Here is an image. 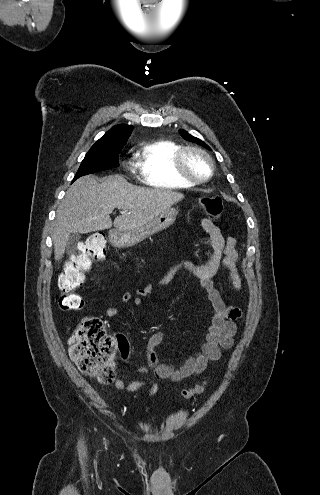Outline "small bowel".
Masks as SVG:
<instances>
[{
  "instance_id": "1",
  "label": "small bowel",
  "mask_w": 320,
  "mask_h": 495,
  "mask_svg": "<svg viewBox=\"0 0 320 495\" xmlns=\"http://www.w3.org/2000/svg\"><path fill=\"white\" fill-rule=\"evenodd\" d=\"M201 224L210 237L212 247V253L207 262L198 264L190 260H183L159 284H148L137 289L134 293L124 292L121 295V300L125 303L131 302L139 307L143 305L144 299L153 294L158 287L168 284L179 270H185L199 281L211 305V323L205 339L198 352L188 357L180 367H173L159 361L156 348L163 343L166 331H156L145 344L147 365L138 368L137 373L152 372L158 379L179 382L202 373L210 363L220 359L223 349H230L233 345V338L238 329L237 321L242 317V312L238 308L226 305L214 286L213 278L221 268H225L230 273L233 287L238 291L241 289L242 282L237 269V241L233 237H224L220 228L210 219H203ZM106 315L110 318L116 317L118 309L109 307L106 310ZM114 385L119 390L129 392L148 386L150 395H154L158 391V385L153 380L125 383L123 380L117 379Z\"/></svg>"
}]
</instances>
